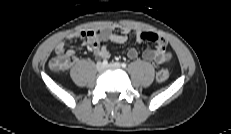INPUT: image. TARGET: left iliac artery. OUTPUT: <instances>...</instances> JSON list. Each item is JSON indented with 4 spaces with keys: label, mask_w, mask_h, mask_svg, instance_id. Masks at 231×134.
<instances>
[{
    "label": "left iliac artery",
    "mask_w": 231,
    "mask_h": 134,
    "mask_svg": "<svg viewBox=\"0 0 231 134\" xmlns=\"http://www.w3.org/2000/svg\"><path fill=\"white\" fill-rule=\"evenodd\" d=\"M121 66H122L123 68H126L127 65H126V63H122Z\"/></svg>",
    "instance_id": "44dca946"
}]
</instances>
